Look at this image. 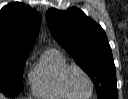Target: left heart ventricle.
Returning <instances> with one entry per match:
<instances>
[{
  "mask_svg": "<svg viewBox=\"0 0 128 99\" xmlns=\"http://www.w3.org/2000/svg\"><path fill=\"white\" fill-rule=\"evenodd\" d=\"M67 85L70 91L77 96H87L90 92V85L87 78L76 69L68 73Z\"/></svg>",
  "mask_w": 128,
  "mask_h": 99,
  "instance_id": "b2bd125f",
  "label": "left heart ventricle"
}]
</instances>
